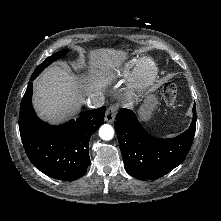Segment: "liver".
<instances>
[{
	"instance_id": "liver-1",
	"label": "liver",
	"mask_w": 221,
	"mask_h": 221,
	"mask_svg": "<svg viewBox=\"0 0 221 221\" xmlns=\"http://www.w3.org/2000/svg\"><path fill=\"white\" fill-rule=\"evenodd\" d=\"M125 58L124 52L112 49L91 51L89 82L107 83L110 70ZM91 91L92 86H83L69 67L53 66L34 83L33 105L40 117L58 123L79 111L85 95L92 96Z\"/></svg>"
}]
</instances>
